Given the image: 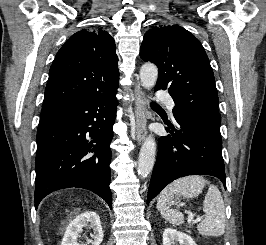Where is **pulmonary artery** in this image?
I'll list each match as a JSON object with an SVG mask.
<instances>
[{
	"label": "pulmonary artery",
	"instance_id": "e3ab8cb5",
	"mask_svg": "<svg viewBox=\"0 0 266 245\" xmlns=\"http://www.w3.org/2000/svg\"><path fill=\"white\" fill-rule=\"evenodd\" d=\"M159 95L161 96L160 97V100L161 101H166L167 100V97L165 96L166 95V92L165 91H160L159 92ZM166 105H167V108L172 111L175 104H174V101L170 98L166 101Z\"/></svg>",
	"mask_w": 266,
	"mask_h": 245
}]
</instances>
